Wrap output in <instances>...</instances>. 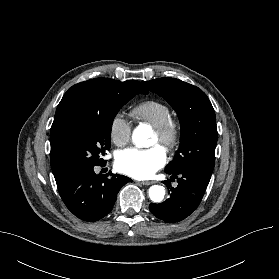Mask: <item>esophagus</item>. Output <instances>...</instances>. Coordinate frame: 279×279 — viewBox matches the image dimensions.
I'll list each match as a JSON object with an SVG mask.
<instances>
[{
    "label": "esophagus",
    "instance_id": "esophagus-1",
    "mask_svg": "<svg viewBox=\"0 0 279 279\" xmlns=\"http://www.w3.org/2000/svg\"><path fill=\"white\" fill-rule=\"evenodd\" d=\"M153 183H155V182L154 181H141L140 182V184H142V185H151Z\"/></svg>",
    "mask_w": 279,
    "mask_h": 279
}]
</instances>
